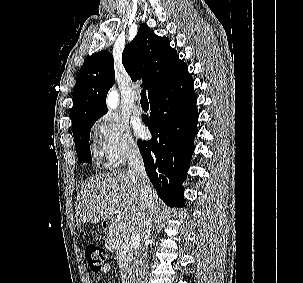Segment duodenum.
Instances as JSON below:
<instances>
[{"mask_svg":"<svg viewBox=\"0 0 303 283\" xmlns=\"http://www.w3.org/2000/svg\"><path fill=\"white\" fill-rule=\"evenodd\" d=\"M123 275L126 283H132L131 271L129 268H123Z\"/></svg>","mask_w":303,"mask_h":283,"instance_id":"410a0bca","label":"duodenum"}]
</instances>
